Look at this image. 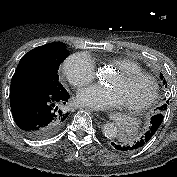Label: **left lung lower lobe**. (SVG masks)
Here are the masks:
<instances>
[{
	"label": "left lung lower lobe",
	"instance_id": "1",
	"mask_svg": "<svg viewBox=\"0 0 177 177\" xmlns=\"http://www.w3.org/2000/svg\"><path fill=\"white\" fill-rule=\"evenodd\" d=\"M163 118L164 116L162 115V112L158 111L156 115L151 117L149 129L140 139L130 143L114 141L111 143V145L121 152H131L140 149L145 144H147L149 140L154 136L157 129L161 125Z\"/></svg>",
	"mask_w": 177,
	"mask_h": 177
}]
</instances>
